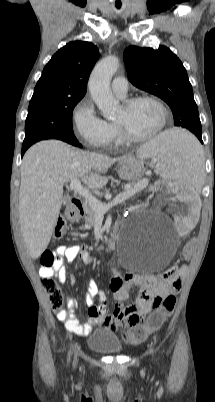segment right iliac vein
<instances>
[{
	"label": "right iliac vein",
	"mask_w": 215,
	"mask_h": 402,
	"mask_svg": "<svg viewBox=\"0 0 215 402\" xmlns=\"http://www.w3.org/2000/svg\"><path fill=\"white\" fill-rule=\"evenodd\" d=\"M77 364V359H75V365Z\"/></svg>",
	"instance_id": "63e3f726"
}]
</instances>
